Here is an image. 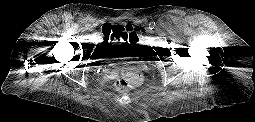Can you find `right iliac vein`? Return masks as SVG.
<instances>
[{"label": "right iliac vein", "instance_id": "63e3f726", "mask_svg": "<svg viewBox=\"0 0 255 122\" xmlns=\"http://www.w3.org/2000/svg\"><path fill=\"white\" fill-rule=\"evenodd\" d=\"M90 32H91L92 34H96V33L94 32V29H91Z\"/></svg>", "mask_w": 255, "mask_h": 122}]
</instances>
